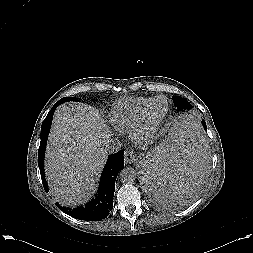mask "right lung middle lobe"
Instances as JSON below:
<instances>
[{
	"label": "right lung middle lobe",
	"mask_w": 253,
	"mask_h": 253,
	"mask_svg": "<svg viewBox=\"0 0 253 253\" xmlns=\"http://www.w3.org/2000/svg\"><path fill=\"white\" fill-rule=\"evenodd\" d=\"M59 101H61V103H64V102H68V101H78V99H76L74 97H64V98L60 99Z\"/></svg>",
	"instance_id": "1"
}]
</instances>
